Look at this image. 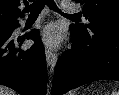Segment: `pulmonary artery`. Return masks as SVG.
<instances>
[{"label": "pulmonary artery", "mask_w": 119, "mask_h": 95, "mask_svg": "<svg viewBox=\"0 0 119 95\" xmlns=\"http://www.w3.org/2000/svg\"><path fill=\"white\" fill-rule=\"evenodd\" d=\"M62 7L67 10V11H75L77 10L76 6L67 2V1H64L62 2Z\"/></svg>", "instance_id": "1"}]
</instances>
